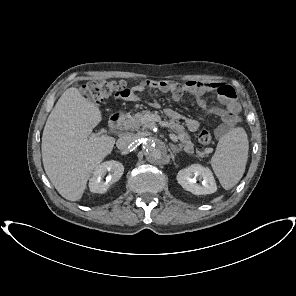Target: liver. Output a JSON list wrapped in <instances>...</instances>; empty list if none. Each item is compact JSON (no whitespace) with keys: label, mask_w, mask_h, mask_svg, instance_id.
I'll list each match as a JSON object with an SVG mask.
<instances>
[{"label":"liver","mask_w":296,"mask_h":296,"mask_svg":"<svg viewBox=\"0 0 296 296\" xmlns=\"http://www.w3.org/2000/svg\"><path fill=\"white\" fill-rule=\"evenodd\" d=\"M101 120L98 105L70 87L46 121L42 135L44 169L67 200L81 199L91 173L113 149V137L92 134Z\"/></svg>","instance_id":"obj_1"}]
</instances>
